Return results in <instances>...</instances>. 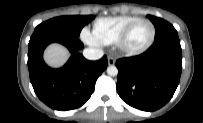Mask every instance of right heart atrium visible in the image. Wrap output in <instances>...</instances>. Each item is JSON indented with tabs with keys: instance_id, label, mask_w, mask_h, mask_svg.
<instances>
[{
	"instance_id": "d8ad5b80",
	"label": "right heart atrium",
	"mask_w": 203,
	"mask_h": 123,
	"mask_svg": "<svg viewBox=\"0 0 203 123\" xmlns=\"http://www.w3.org/2000/svg\"><path fill=\"white\" fill-rule=\"evenodd\" d=\"M81 38L87 44H90L93 46H99L100 45V43L95 38V36L86 28H84L81 32Z\"/></svg>"
}]
</instances>
